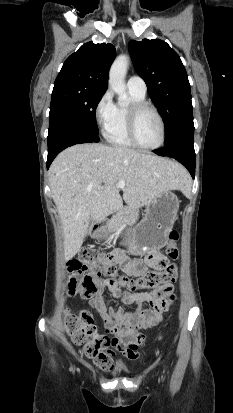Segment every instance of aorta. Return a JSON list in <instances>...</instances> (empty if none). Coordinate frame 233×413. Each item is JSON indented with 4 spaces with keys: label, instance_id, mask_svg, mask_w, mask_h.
I'll return each instance as SVG.
<instances>
[{
    "label": "aorta",
    "instance_id": "762f6f07",
    "mask_svg": "<svg viewBox=\"0 0 233 413\" xmlns=\"http://www.w3.org/2000/svg\"><path fill=\"white\" fill-rule=\"evenodd\" d=\"M127 69L128 57L126 55H120L115 59L109 71V87L118 94L120 100L127 98L125 85Z\"/></svg>",
    "mask_w": 233,
    "mask_h": 413
}]
</instances>
